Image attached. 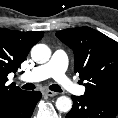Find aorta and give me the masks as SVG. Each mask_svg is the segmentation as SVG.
<instances>
[{"label": "aorta", "mask_w": 118, "mask_h": 118, "mask_svg": "<svg viewBox=\"0 0 118 118\" xmlns=\"http://www.w3.org/2000/svg\"><path fill=\"white\" fill-rule=\"evenodd\" d=\"M51 57V50L45 44H36L31 49V58L39 64L46 63ZM56 108L60 112H69L72 108V100L66 96H60L56 100Z\"/></svg>", "instance_id": "obj_1"}]
</instances>
